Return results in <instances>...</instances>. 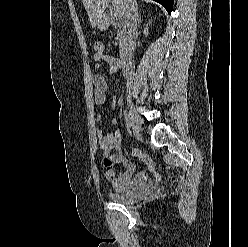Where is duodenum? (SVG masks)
Segmentation results:
<instances>
[{"mask_svg": "<svg viewBox=\"0 0 248 247\" xmlns=\"http://www.w3.org/2000/svg\"><path fill=\"white\" fill-rule=\"evenodd\" d=\"M104 21L105 22H109L110 21V18L107 16V15H104ZM134 60H135V57H134V54L129 51L125 54L124 56V59L121 63V67H122V70L125 72V73H129L133 67V64H134Z\"/></svg>", "mask_w": 248, "mask_h": 247, "instance_id": "410a0bca", "label": "duodenum"}]
</instances>
